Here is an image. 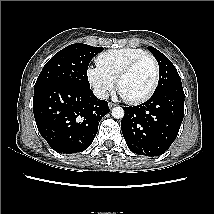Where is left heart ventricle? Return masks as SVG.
Listing matches in <instances>:
<instances>
[{"label": "left heart ventricle", "mask_w": 214, "mask_h": 214, "mask_svg": "<svg viewBox=\"0 0 214 214\" xmlns=\"http://www.w3.org/2000/svg\"><path fill=\"white\" fill-rule=\"evenodd\" d=\"M154 81V67L149 60H144L127 75L120 84V93L128 99L143 96Z\"/></svg>", "instance_id": "1"}]
</instances>
